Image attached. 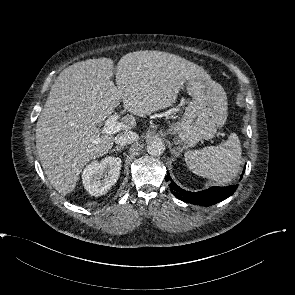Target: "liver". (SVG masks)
Returning <instances> with one entry per match:
<instances>
[{"label":"liver","mask_w":295,"mask_h":295,"mask_svg":"<svg viewBox=\"0 0 295 295\" xmlns=\"http://www.w3.org/2000/svg\"><path fill=\"white\" fill-rule=\"evenodd\" d=\"M111 58L89 59L65 68L56 78L36 126L41 165L55 190L71 193L84 166L108 153L114 137L96 126L123 101L131 115L122 132L136 128V118L172 106L188 81L210 78L206 71L178 55L136 51L116 66Z\"/></svg>","instance_id":"liver-1"}]
</instances>
